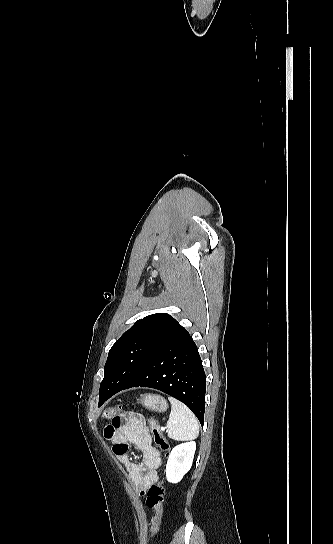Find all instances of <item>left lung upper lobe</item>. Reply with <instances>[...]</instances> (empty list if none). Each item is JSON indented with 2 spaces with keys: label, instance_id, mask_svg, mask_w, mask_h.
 <instances>
[{
  "label": "left lung upper lobe",
  "instance_id": "1",
  "mask_svg": "<svg viewBox=\"0 0 333 544\" xmlns=\"http://www.w3.org/2000/svg\"><path fill=\"white\" fill-rule=\"evenodd\" d=\"M181 328L166 313L152 314L136 321L110 349L100 392H113L128 384Z\"/></svg>",
  "mask_w": 333,
  "mask_h": 544
}]
</instances>
